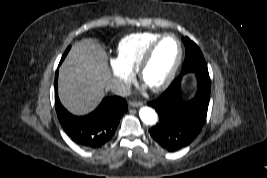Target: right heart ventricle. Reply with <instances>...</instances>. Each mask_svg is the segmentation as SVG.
<instances>
[{
  "label": "right heart ventricle",
  "mask_w": 267,
  "mask_h": 178,
  "mask_svg": "<svg viewBox=\"0 0 267 178\" xmlns=\"http://www.w3.org/2000/svg\"><path fill=\"white\" fill-rule=\"evenodd\" d=\"M161 35L159 32H141L124 37L117 45V60L130 71H137L145 51Z\"/></svg>",
  "instance_id": "right-heart-ventricle-1"
}]
</instances>
